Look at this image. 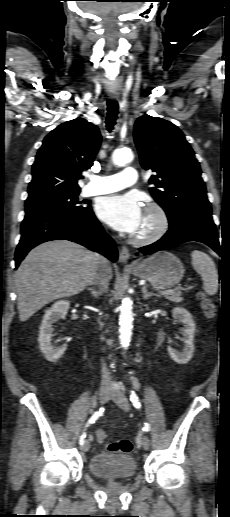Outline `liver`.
Here are the masks:
<instances>
[{
  "label": "liver",
  "instance_id": "6515ba94",
  "mask_svg": "<svg viewBox=\"0 0 230 517\" xmlns=\"http://www.w3.org/2000/svg\"><path fill=\"white\" fill-rule=\"evenodd\" d=\"M100 266L98 254L67 240L32 249L15 273L20 321L55 299L83 291ZM104 268L112 278L111 266Z\"/></svg>",
  "mask_w": 230,
  "mask_h": 517
}]
</instances>
